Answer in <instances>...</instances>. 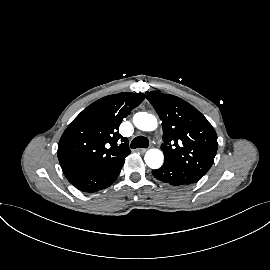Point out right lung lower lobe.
Wrapping results in <instances>:
<instances>
[{
    "label": "right lung lower lobe",
    "instance_id": "right-lung-lower-lobe-1",
    "mask_svg": "<svg viewBox=\"0 0 270 270\" xmlns=\"http://www.w3.org/2000/svg\"><path fill=\"white\" fill-rule=\"evenodd\" d=\"M125 158L107 168H102L74 176L69 182L83 192H96L109 187L118 177Z\"/></svg>",
    "mask_w": 270,
    "mask_h": 270
}]
</instances>
